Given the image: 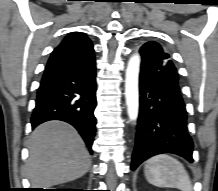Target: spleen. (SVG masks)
Segmentation results:
<instances>
[{"label": "spleen", "mask_w": 218, "mask_h": 191, "mask_svg": "<svg viewBox=\"0 0 218 191\" xmlns=\"http://www.w3.org/2000/svg\"><path fill=\"white\" fill-rule=\"evenodd\" d=\"M144 174L147 181L154 186L193 191L189 175L183 164L167 154L150 158L146 162Z\"/></svg>", "instance_id": "obj_1"}]
</instances>
